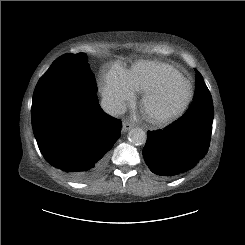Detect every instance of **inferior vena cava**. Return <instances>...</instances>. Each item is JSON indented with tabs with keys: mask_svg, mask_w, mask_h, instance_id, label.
I'll use <instances>...</instances> for the list:
<instances>
[{
	"mask_svg": "<svg viewBox=\"0 0 245 245\" xmlns=\"http://www.w3.org/2000/svg\"><path fill=\"white\" fill-rule=\"evenodd\" d=\"M102 109L111 116L122 115L126 112V105L122 100L116 98H103L101 100Z\"/></svg>",
	"mask_w": 245,
	"mask_h": 245,
	"instance_id": "inferior-vena-cava-1",
	"label": "inferior vena cava"
}]
</instances>
